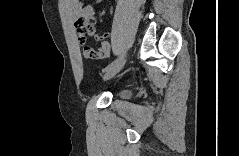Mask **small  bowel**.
<instances>
[{
    "mask_svg": "<svg viewBox=\"0 0 239 156\" xmlns=\"http://www.w3.org/2000/svg\"><path fill=\"white\" fill-rule=\"evenodd\" d=\"M68 10L73 16L76 30L77 26L83 22L86 28V32L89 35H95V10L93 6L83 7L82 4L78 1H70ZM77 33L80 43L84 46L85 55L87 57L92 59H102L109 55L110 47L107 42H101L99 48L97 50H94L86 44V41L84 40L85 36H83L78 31Z\"/></svg>",
    "mask_w": 239,
    "mask_h": 156,
    "instance_id": "small-bowel-1",
    "label": "small bowel"
}]
</instances>
